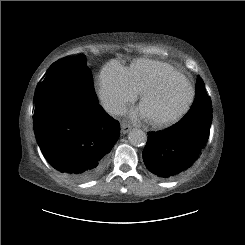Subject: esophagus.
I'll return each instance as SVG.
<instances>
[{
  "instance_id": "esophagus-1",
  "label": "esophagus",
  "mask_w": 245,
  "mask_h": 245,
  "mask_svg": "<svg viewBox=\"0 0 245 245\" xmlns=\"http://www.w3.org/2000/svg\"><path fill=\"white\" fill-rule=\"evenodd\" d=\"M131 129H132V127L130 125H128L126 123L121 124V133L122 134L128 133Z\"/></svg>"
}]
</instances>
